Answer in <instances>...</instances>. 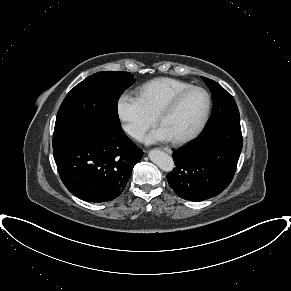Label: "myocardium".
I'll list each match as a JSON object with an SVG mask.
<instances>
[{"mask_svg":"<svg viewBox=\"0 0 291 291\" xmlns=\"http://www.w3.org/2000/svg\"><path fill=\"white\" fill-rule=\"evenodd\" d=\"M192 91H201L205 94L206 100H207L206 107L198 125L191 133H189L188 135L184 137L172 140V142L177 145L185 144L195 139L203 131L204 127L206 126L208 122L211 108H212V97H211L210 92L201 86L192 85L188 88H185L179 91L178 93H176L173 97H171L168 100V102L160 109V111L158 112L156 116L157 123L161 125L163 118L167 116L168 114H170L177 107L180 101Z\"/></svg>","mask_w":291,"mask_h":291,"instance_id":"obj_1","label":"myocardium"}]
</instances>
